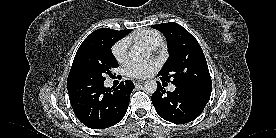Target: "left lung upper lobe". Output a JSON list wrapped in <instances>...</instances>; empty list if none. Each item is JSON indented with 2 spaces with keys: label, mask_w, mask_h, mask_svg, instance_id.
<instances>
[{
  "label": "left lung upper lobe",
  "mask_w": 276,
  "mask_h": 138,
  "mask_svg": "<svg viewBox=\"0 0 276 138\" xmlns=\"http://www.w3.org/2000/svg\"><path fill=\"white\" fill-rule=\"evenodd\" d=\"M162 32L166 39L169 57L159 71L161 78L180 87L212 89V82L204 53L194 38L184 27L175 23L152 25Z\"/></svg>",
  "instance_id": "5c2ea615"
}]
</instances>
